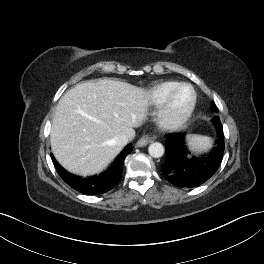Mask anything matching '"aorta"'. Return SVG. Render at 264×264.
<instances>
[{"label":"aorta","instance_id":"aorta-1","mask_svg":"<svg viewBox=\"0 0 264 264\" xmlns=\"http://www.w3.org/2000/svg\"><path fill=\"white\" fill-rule=\"evenodd\" d=\"M148 152L150 156L154 158H160L164 155V146L159 142H153L148 147Z\"/></svg>","mask_w":264,"mask_h":264}]
</instances>
